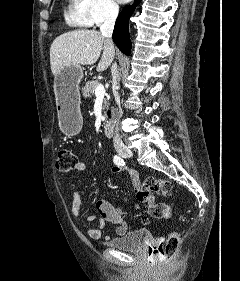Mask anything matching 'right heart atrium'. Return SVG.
<instances>
[{
	"instance_id": "obj_1",
	"label": "right heart atrium",
	"mask_w": 240,
	"mask_h": 281,
	"mask_svg": "<svg viewBox=\"0 0 240 281\" xmlns=\"http://www.w3.org/2000/svg\"><path fill=\"white\" fill-rule=\"evenodd\" d=\"M89 2L91 19L95 25L115 19L119 13V8L114 0H89Z\"/></svg>"
}]
</instances>
